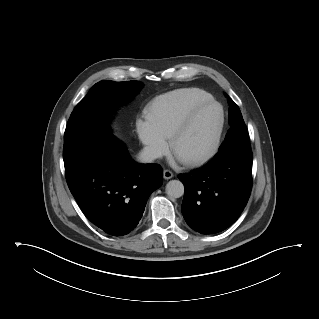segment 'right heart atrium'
I'll return each instance as SVG.
<instances>
[{
  "instance_id": "d8ad5b80",
  "label": "right heart atrium",
  "mask_w": 319,
  "mask_h": 319,
  "mask_svg": "<svg viewBox=\"0 0 319 319\" xmlns=\"http://www.w3.org/2000/svg\"><path fill=\"white\" fill-rule=\"evenodd\" d=\"M136 131L147 153L153 158H160L166 151V138L158 132L147 119L136 120Z\"/></svg>"
}]
</instances>
